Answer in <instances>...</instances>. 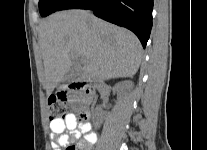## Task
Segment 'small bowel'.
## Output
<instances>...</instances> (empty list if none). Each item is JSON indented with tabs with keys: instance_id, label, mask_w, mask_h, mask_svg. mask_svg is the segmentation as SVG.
Listing matches in <instances>:
<instances>
[{
	"instance_id": "small-bowel-1",
	"label": "small bowel",
	"mask_w": 207,
	"mask_h": 150,
	"mask_svg": "<svg viewBox=\"0 0 207 150\" xmlns=\"http://www.w3.org/2000/svg\"><path fill=\"white\" fill-rule=\"evenodd\" d=\"M49 127L51 136L55 138L52 143L53 150H70L71 146H74V150H92L97 141V135L92 131L90 122L78 121L72 113L61 119L50 120ZM74 140L77 141L76 144L71 145Z\"/></svg>"
}]
</instances>
